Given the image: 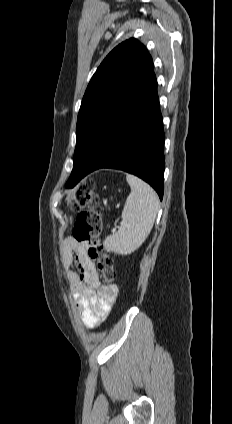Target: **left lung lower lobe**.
Wrapping results in <instances>:
<instances>
[{
  "instance_id": "obj_1",
  "label": "left lung lower lobe",
  "mask_w": 232,
  "mask_h": 424,
  "mask_svg": "<svg viewBox=\"0 0 232 424\" xmlns=\"http://www.w3.org/2000/svg\"><path fill=\"white\" fill-rule=\"evenodd\" d=\"M164 131L152 72L103 132L79 177H70L73 188L87 174L112 168L134 174L149 183L163 197Z\"/></svg>"
}]
</instances>
